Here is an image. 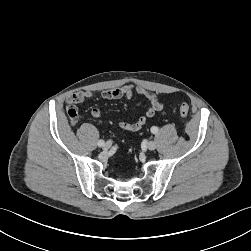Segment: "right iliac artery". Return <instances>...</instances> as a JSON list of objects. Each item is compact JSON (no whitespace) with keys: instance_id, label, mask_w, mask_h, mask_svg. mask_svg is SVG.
I'll return each instance as SVG.
<instances>
[{"instance_id":"right-iliac-artery-1","label":"right iliac artery","mask_w":251,"mask_h":251,"mask_svg":"<svg viewBox=\"0 0 251 251\" xmlns=\"http://www.w3.org/2000/svg\"><path fill=\"white\" fill-rule=\"evenodd\" d=\"M104 144H105V142L103 140H99L98 141V146L99 147H102Z\"/></svg>"}]
</instances>
